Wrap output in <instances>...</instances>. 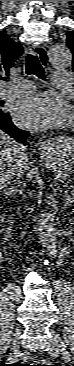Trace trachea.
<instances>
[{"mask_svg":"<svg viewBox=\"0 0 74 366\" xmlns=\"http://www.w3.org/2000/svg\"><path fill=\"white\" fill-rule=\"evenodd\" d=\"M25 72L27 75H35L42 80H46L45 71L36 55L27 54Z\"/></svg>","mask_w":74,"mask_h":366,"instance_id":"obj_1","label":"trachea"}]
</instances>
